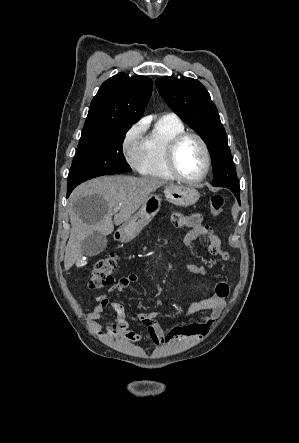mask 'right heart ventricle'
I'll return each instance as SVG.
<instances>
[{
	"mask_svg": "<svg viewBox=\"0 0 299 443\" xmlns=\"http://www.w3.org/2000/svg\"><path fill=\"white\" fill-rule=\"evenodd\" d=\"M184 131L185 126L178 117L165 115L159 118L151 133L144 139L140 173L146 177L173 179L166 163V150L171 140Z\"/></svg>",
	"mask_w": 299,
	"mask_h": 443,
	"instance_id": "obj_1",
	"label": "right heart ventricle"
}]
</instances>
